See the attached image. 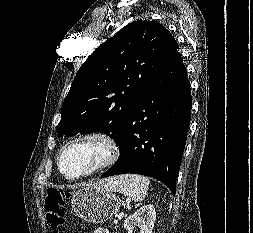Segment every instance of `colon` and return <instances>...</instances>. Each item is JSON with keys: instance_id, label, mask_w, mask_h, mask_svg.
Returning <instances> with one entry per match:
<instances>
[{"instance_id": "colon-1", "label": "colon", "mask_w": 253, "mask_h": 233, "mask_svg": "<svg viewBox=\"0 0 253 233\" xmlns=\"http://www.w3.org/2000/svg\"><path fill=\"white\" fill-rule=\"evenodd\" d=\"M67 195L58 189H48L45 197V212L49 226L58 228L64 223Z\"/></svg>"}]
</instances>
